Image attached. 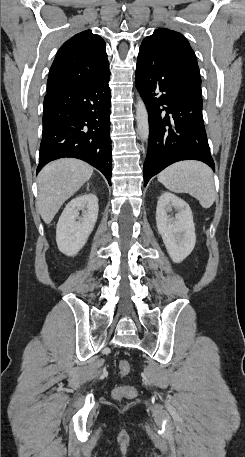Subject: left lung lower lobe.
I'll return each mask as SVG.
<instances>
[{"instance_id": "1", "label": "left lung lower lobe", "mask_w": 245, "mask_h": 457, "mask_svg": "<svg viewBox=\"0 0 245 457\" xmlns=\"http://www.w3.org/2000/svg\"><path fill=\"white\" fill-rule=\"evenodd\" d=\"M135 85L149 115L144 186L167 166L199 160L212 169L202 116V92L170 51H139ZM163 107V108H161Z\"/></svg>"}]
</instances>
